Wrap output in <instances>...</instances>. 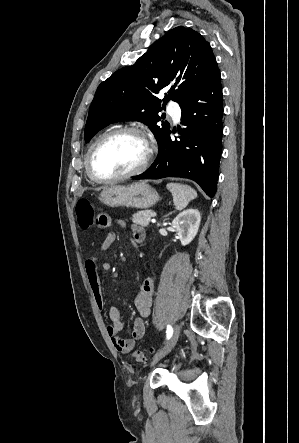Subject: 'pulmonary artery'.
<instances>
[{
	"instance_id": "obj_1",
	"label": "pulmonary artery",
	"mask_w": 299,
	"mask_h": 443,
	"mask_svg": "<svg viewBox=\"0 0 299 443\" xmlns=\"http://www.w3.org/2000/svg\"><path fill=\"white\" fill-rule=\"evenodd\" d=\"M167 111L174 121L178 122L180 120L181 112L180 107L177 103L170 102Z\"/></svg>"
}]
</instances>
